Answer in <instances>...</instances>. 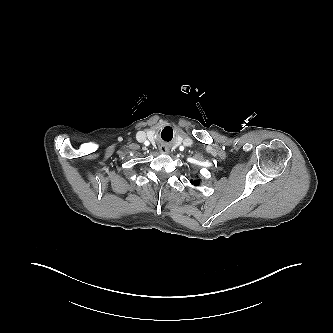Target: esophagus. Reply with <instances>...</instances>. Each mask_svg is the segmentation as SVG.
<instances>
[{
	"label": "esophagus",
	"mask_w": 333,
	"mask_h": 333,
	"mask_svg": "<svg viewBox=\"0 0 333 333\" xmlns=\"http://www.w3.org/2000/svg\"><path fill=\"white\" fill-rule=\"evenodd\" d=\"M162 154H167L169 151L166 148H160Z\"/></svg>",
	"instance_id": "obj_1"
}]
</instances>
